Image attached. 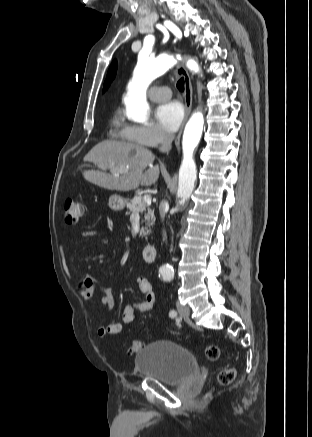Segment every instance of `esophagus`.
<instances>
[{
    "label": "esophagus",
    "instance_id": "1",
    "mask_svg": "<svg viewBox=\"0 0 312 437\" xmlns=\"http://www.w3.org/2000/svg\"><path fill=\"white\" fill-rule=\"evenodd\" d=\"M177 73L182 76L184 78V101H185V116H184V120L181 124L179 133L175 139V146L177 148V150L180 149V138L183 132V128L185 126V123L187 122V119L191 113V109H192V100H193V88H192V83H191V79L189 76V73L187 72V70L185 69L184 65L181 64L178 69H177Z\"/></svg>",
    "mask_w": 312,
    "mask_h": 437
}]
</instances>
